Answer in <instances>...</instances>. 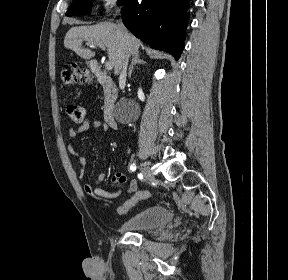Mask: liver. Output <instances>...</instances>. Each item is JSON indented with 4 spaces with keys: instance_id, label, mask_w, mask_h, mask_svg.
<instances>
[{
    "instance_id": "liver-1",
    "label": "liver",
    "mask_w": 288,
    "mask_h": 280,
    "mask_svg": "<svg viewBox=\"0 0 288 280\" xmlns=\"http://www.w3.org/2000/svg\"><path fill=\"white\" fill-rule=\"evenodd\" d=\"M126 30V29H125ZM127 32L128 52L130 55L139 53L140 41ZM83 41L88 43H102L108 50L109 62L114 68V74L119 75L122 70L123 56L126 44L123 39L122 30L119 25L111 22H102L92 26L72 27L64 38V47L72 49L77 55L84 59H91L95 52L82 47Z\"/></svg>"
}]
</instances>
